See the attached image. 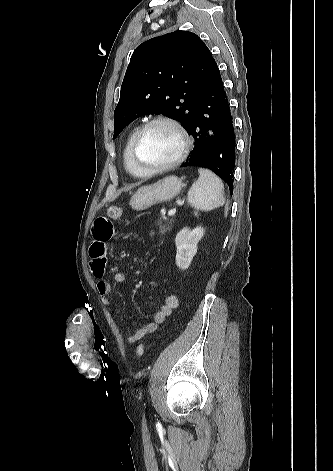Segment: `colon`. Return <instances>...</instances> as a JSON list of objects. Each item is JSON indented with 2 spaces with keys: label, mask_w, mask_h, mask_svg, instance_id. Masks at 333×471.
Masks as SVG:
<instances>
[{
  "label": "colon",
  "mask_w": 333,
  "mask_h": 471,
  "mask_svg": "<svg viewBox=\"0 0 333 471\" xmlns=\"http://www.w3.org/2000/svg\"><path fill=\"white\" fill-rule=\"evenodd\" d=\"M107 215L110 218L118 219L123 215V209L121 207H118V206H110V207L107 208ZM144 351H145L144 344H140L136 348V355L137 356H142Z\"/></svg>",
  "instance_id": "obj_1"
}]
</instances>
